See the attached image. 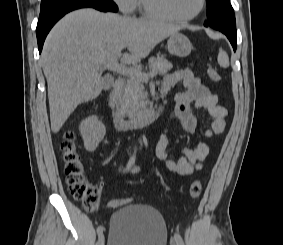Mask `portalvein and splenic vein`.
Here are the masks:
<instances>
[{
  "label": "portal vein and splenic vein",
  "instance_id": "portal-vein-and-splenic-vein-1",
  "mask_svg": "<svg viewBox=\"0 0 283 245\" xmlns=\"http://www.w3.org/2000/svg\"><path fill=\"white\" fill-rule=\"evenodd\" d=\"M104 69H109L111 71L126 75L130 78H138L147 82L150 77H154L157 75L156 72H151L150 74H142L139 70L133 67H129L125 64L119 63L117 60H112L105 65H103Z\"/></svg>",
  "mask_w": 283,
  "mask_h": 245
}]
</instances>
